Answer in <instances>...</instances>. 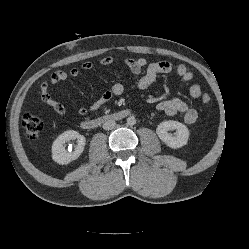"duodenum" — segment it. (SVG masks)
<instances>
[{
    "label": "duodenum",
    "instance_id": "410a0bca",
    "mask_svg": "<svg viewBox=\"0 0 249 249\" xmlns=\"http://www.w3.org/2000/svg\"><path fill=\"white\" fill-rule=\"evenodd\" d=\"M131 114V109L123 108L112 113L100 115L95 118L86 119L81 122V128L84 130H91L99 127L108 120H120Z\"/></svg>",
    "mask_w": 249,
    "mask_h": 249
}]
</instances>
